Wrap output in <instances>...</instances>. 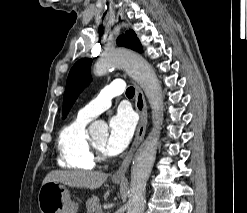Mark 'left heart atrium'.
I'll return each mask as SVG.
<instances>
[{
	"label": "left heart atrium",
	"mask_w": 247,
	"mask_h": 213,
	"mask_svg": "<svg viewBox=\"0 0 247 213\" xmlns=\"http://www.w3.org/2000/svg\"><path fill=\"white\" fill-rule=\"evenodd\" d=\"M135 121L131 113L119 111L109 120V135L105 143V151L109 155L121 153L132 139Z\"/></svg>",
	"instance_id": "obj_1"
}]
</instances>
